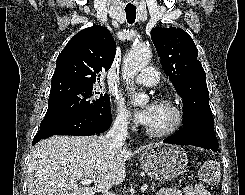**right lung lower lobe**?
Listing matches in <instances>:
<instances>
[{
    "instance_id": "98d812e1",
    "label": "right lung lower lobe",
    "mask_w": 245,
    "mask_h": 195,
    "mask_svg": "<svg viewBox=\"0 0 245 195\" xmlns=\"http://www.w3.org/2000/svg\"><path fill=\"white\" fill-rule=\"evenodd\" d=\"M112 123L111 108L99 107L40 128L32 145L53 135L86 136L100 134L109 129Z\"/></svg>"
}]
</instances>
